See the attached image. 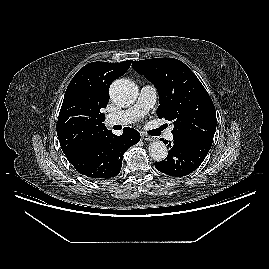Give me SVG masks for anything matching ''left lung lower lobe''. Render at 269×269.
<instances>
[{"label":"left lung lower lobe","mask_w":269,"mask_h":269,"mask_svg":"<svg viewBox=\"0 0 269 269\" xmlns=\"http://www.w3.org/2000/svg\"><path fill=\"white\" fill-rule=\"evenodd\" d=\"M162 141L171 148L166 159L155 162L157 170L167 175L181 177L192 173L205 159L213 140L208 138L180 139Z\"/></svg>","instance_id":"0a47b994"}]
</instances>
